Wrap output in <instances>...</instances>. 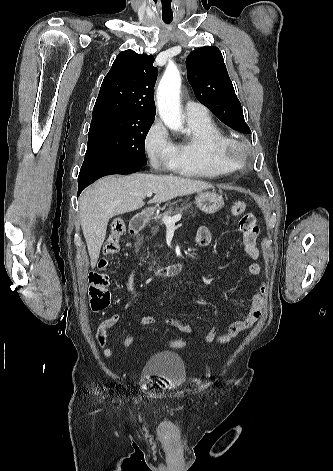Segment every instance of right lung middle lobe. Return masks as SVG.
<instances>
[{
  "label": "right lung middle lobe",
  "instance_id": "1",
  "mask_svg": "<svg viewBox=\"0 0 333 471\" xmlns=\"http://www.w3.org/2000/svg\"><path fill=\"white\" fill-rule=\"evenodd\" d=\"M153 122L120 114L92 117L83 164L146 165L145 138Z\"/></svg>",
  "mask_w": 333,
  "mask_h": 471
}]
</instances>
